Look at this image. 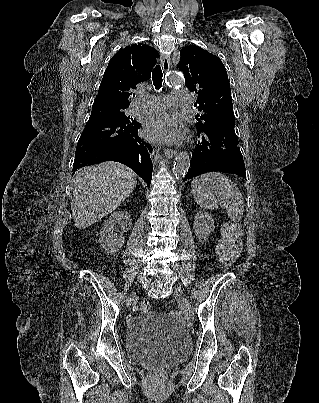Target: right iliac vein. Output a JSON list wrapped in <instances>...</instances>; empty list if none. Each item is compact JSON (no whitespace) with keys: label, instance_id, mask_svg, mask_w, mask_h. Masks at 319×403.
<instances>
[{"label":"right iliac vein","instance_id":"63e3f726","mask_svg":"<svg viewBox=\"0 0 319 403\" xmlns=\"http://www.w3.org/2000/svg\"><path fill=\"white\" fill-rule=\"evenodd\" d=\"M134 297H135V296L133 295L132 298L130 299V301H132V300L134 299ZM127 306H128V305H127Z\"/></svg>","mask_w":319,"mask_h":403}]
</instances>
